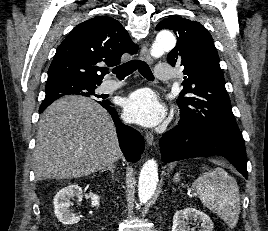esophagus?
<instances>
[{
    "mask_svg": "<svg viewBox=\"0 0 268 231\" xmlns=\"http://www.w3.org/2000/svg\"><path fill=\"white\" fill-rule=\"evenodd\" d=\"M139 58H140V60L145 61L149 64L152 63V58H151V56L149 54V50L146 46L142 47V49L140 51ZM145 138H146V142H147L148 146L154 145V136L151 132H147Z\"/></svg>",
    "mask_w": 268,
    "mask_h": 231,
    "instance_id": "obj_1",
    "label": "esophagus"
}]
</instances>
